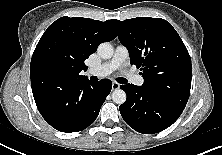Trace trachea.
<instances>
[{"mask_svg": "<svg viewBox=\"0 0 222 155\" xmlns=\"http://www.w3.org/2000/svg\"><path fill=\"white\" fill-rule=\"evenodd\" d=\"M117 82L124 84L127 82V80L125 78H118Z\"/></svg>", "mask_w": 222, "mask_h": 155, "instance_id": "trachea-1", "label": "trachea"}]
</instances>
